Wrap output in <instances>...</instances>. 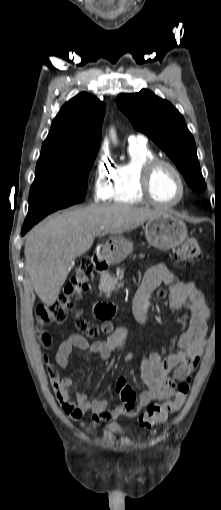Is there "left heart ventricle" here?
Listing matches in <instances>:
<instances>
[{
  "label": "left heart ventricle",
  "instance_id": "b2bd125f",
  "mask_svg": "<svg viewBox=\"0 0 221 510\" xmlns=\"http://www.w3.org/2000/svg\"><path fill=\"white\" fill-rule=\"evenodd\" d=\"M152 194L156 200L164 203L176 201L181 193V187L174 172L166 167H159L151 181Z\"/></svg>",
  "mask_w": 221,
  "mask_h": 510
}]
</instances>
